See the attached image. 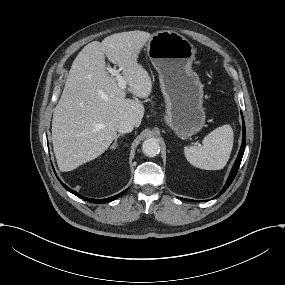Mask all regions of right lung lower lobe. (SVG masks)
Segmentation results:
<instances>
[{
	"instance_id": "1",
	"label": "right lung lower lobe",
	"mask_w": 285,
	"mask_h": 285,
	"mask_svg": "<svg viewBox=\"0 0 285 285\" xmlns=\"http://www.w3.org/2000/svg\"><path fill=\"white\" fill-rule=\"evenodd\" d=\"M58 178V176H57ZM58 180L60 181V179L58 178ZM60 183L71 193L75 194L76 196L86 200V201H89V202H92V203H107V202H110L116 198H118L119 196H121L122 194H124L128 189L124 190L123 192L115 195V196H112V197H109V198H106V199H91V198H87V197H84V196H81L79 193H77L76 191L70 189L69 187H67L65 184H63L61 181Z\"/></svg>"
}]
</instances>
